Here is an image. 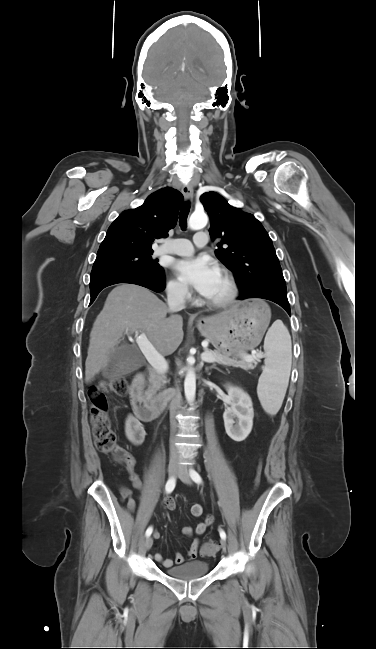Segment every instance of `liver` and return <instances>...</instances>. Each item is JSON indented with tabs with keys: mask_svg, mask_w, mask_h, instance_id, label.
Instances as JSON below:
<instances>
[{
	"mask_svg": "<svg viewBox=\"0 0 376 649\" xmlns=\"http://www.w3.org/2000/svg\"><path fill=\"white\" fill-rule=\"evenodd\" d=\"M171 310L148 289L121 284L108 295L90 333L85 362V382L107 365L109 354L124 334L145 333L162 356L172 354L183 340V319L167 318Z\"/></svg>",
	"mask_w": 376,
	"mask_h": 649,
	"instance_id": "6515ba94",
	"label": "liver"
}]
</instances>
